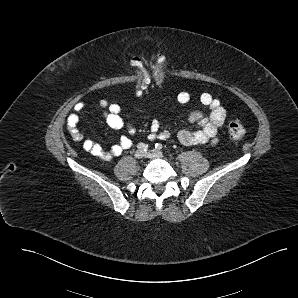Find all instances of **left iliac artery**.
<instances>
[{"instance_id": "1", "label": "left iliac artery", "mask_w": 298, "mask_h": 298, "mask_svg": "<svg viewBox=\"0 0 298 298\" xmlns=\"http://www.w3.org/2000/svg\"><path fill=\"white\" fill-rule=\"evenodd\" d=\"M162 144L161 143H157V144H155V148L157 149V150H161L162 149Z\"/></svg>"}]
</instances>
